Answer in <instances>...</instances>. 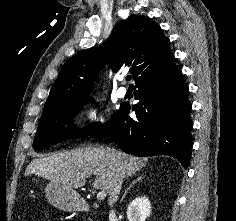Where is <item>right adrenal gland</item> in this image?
Segmentation results:
<instances>
[{
  "label": "right adrenal gland",
  "instance_id": "right-adrenal-gland-1",
  "mask_svg": "<svg viewBox=\"0 0 236 221\" xmlns=\"http://www.w3.org/2000/svg\"><path fill=\"white\" fill-rule=\"evenodd\" d=\"M143 178H144V176L141 175V176H139L136 180H133V181L131 182V184L129 185V187L125 189V192H124V194H123V196H122V198H121V202L124 200V198H125V196L127 195L128 191H129L137 182L142 181Z\"/></svg>",
  "mask_w": 236,
  "mask_h": 221
}]
</instances>
